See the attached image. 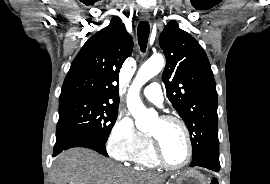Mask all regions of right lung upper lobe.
Instances as JSON below:
<instances>
[{"label":"right lung upper lobe","instance_id":"cb5924a9","mask_svg":"<svg viewBox=\"0 0 270 184\" xmlns=\"http://www.w3.org/2000/svg\"><path fill=\"white\" fill-rule=\"evenodd\" d=\"M133 39L119 17L89 38L73 60L59 99L85 97L118 106L119 70Z\"/></svg>","mask_w":270,"mask_h":184}]
</instances>
